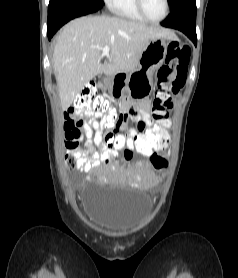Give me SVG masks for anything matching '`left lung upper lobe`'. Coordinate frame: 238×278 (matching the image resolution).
I'll list each match as a JSON object with an SVG mask.
<instances>
[{"mask_svg": "<svg viewBox=\"0 0 238 278\" xmlns=\"http://www.w3.org/2000/svg\"><path fill=\"white\" fill-rule=\"evenodd\" d=\"M179 1H180V0H170L171 8H173L174 5H175L176 3H178Z\"/></svg>", "mask_w": 238, "mask_h": 278, "instance_id": "5c2ea615", "label": "left lung upper lobe"}]
</instances>
